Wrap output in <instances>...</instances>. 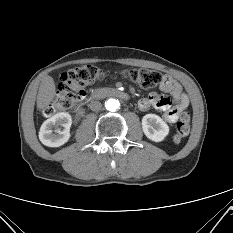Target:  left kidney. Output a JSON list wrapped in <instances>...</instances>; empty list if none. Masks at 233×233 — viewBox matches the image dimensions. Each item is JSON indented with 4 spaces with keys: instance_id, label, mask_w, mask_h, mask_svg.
Wrapping results in <instances>:
<instances>
[{
    "instance_id": "obj_1",
    "label": "left kidney",
    "mask_w": 233,
    "mask_h": 233,
    "mask_svg": "<svg viewBox=\"0 0 233 233\" xmlns=\"http://www.w3.org/2000/svg\"><path fill=\"white\" fill-rule=\"evenodd\" d=\"M142 129L147 138L161 142L169 134V126L156 114H146L142 118Z\"/></svg>"
}]
</instances>
